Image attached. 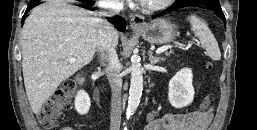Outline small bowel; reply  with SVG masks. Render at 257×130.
<instances>
[{"label":"small bowel","mask_w":257,"mask_h":130,"mask_svg":"<svg viewBox=\"0 0 257 130\" xmlns=\"http://www.w3.org/2000/svg\"><path fill=\"white\" fill-rule=\"evenodd\" d=\"M212 112L165 113L152 112L148 116L146 130H206Z\"/></svg>","instance_id":"1"}]
</instances>
